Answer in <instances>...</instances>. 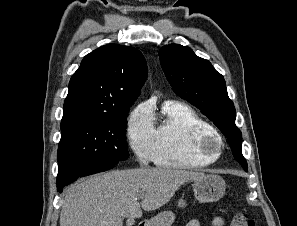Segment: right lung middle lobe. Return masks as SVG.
<instances>
[{"mask_svg": "<svg viewBox=\"0 0 297 226\" xmlns=\"http://www.w3.org/2000/svg\"><path fill=\"white\" fill-rule=\"evenodd\" d=\"M115 118L75 117L61 122L58 172L91 163H116L129 157L127 113Z\"/></svg>", "mask_w": 297, "mask_h": 226, "instance_id": "dd1d6c3e", "label": "right lung middle lobe"}]
</instances>
